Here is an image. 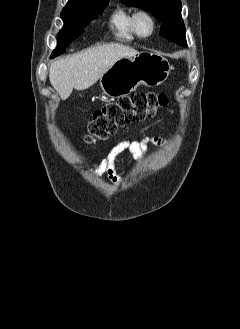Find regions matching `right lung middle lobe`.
I'll return each mask as SVG.
<instances>
[{"label": "right lung middle lobe", "instance_id": "1", "mask_svg": "<svg viewBox=\"0 0 240 329\" xmlns=\"http://www.w3.org/2000/svg\"><path fill=\"white\" fill-rule=\"evenodd\" d=\"M109 0L97 1L90 5L64 7L61 12L64 26L57 38V48L53 51L51 58L60 55L70 42L81 35L84 27L93 21L99 14H102Z\"/></svg>", "mask_w": 240, "mask_h": 329}]
</instances>
